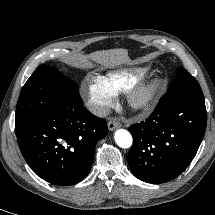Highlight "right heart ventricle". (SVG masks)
<instances>
[{
    "mask_svg": "<svg viewBox=\"0 0 215 215\" xmlns=\"http://www.w3.org/2000/svg\"><path fill=\"white\" fill-rule=\"evenodd\" d=\"M142 77V73L133 70L110 71L100 76L105 85L116 95L126 92L133 87Z\"/></svg>",
    "mask_w": 215,
    "mask_h": 215,
    "instance_id": "e07e8e85",
    "label": "right heart ventricle"
}]
</instances>
